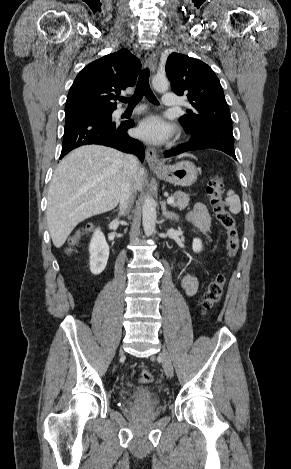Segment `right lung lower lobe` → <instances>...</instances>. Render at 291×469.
<instances>
[{
  "label": "right lung lower lobe",
  "instance_id": "1",
  "mask_svg": "<svg viewBox=\"0 0 291 469\" xmlns=\"http://www.w3.org/2000/svg\"><path fill=\"white\" fill-rule=\"evenodd\" d=\"M114 110L86 112L66 117L60 159L79 146L99 144L133 153L143 161V144L127 134V130L134 126V122L112 121L111 114Z\"/></svg>",
  "mask_w": 291,
  "mask_h": 469
}]
</instances>
